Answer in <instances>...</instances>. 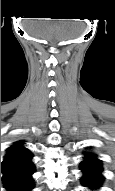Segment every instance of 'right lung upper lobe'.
<instances>
[{"label": "right lung upper lobe", "mask_w": 115, "mask_h": 191, "mask_svg": "<svg viewBox=\"0 0 115 191\" xmlns=\"http://www.w3.org/2000/svg\"><path fill=\"white\" fill-rule=\"evenodd\" d=\"M32 169H34L32 153L23 146V142H16L7 149L2 162L3 174L26 172Z\"/></svg>", "instance_id": "right-lung-upper-lobe-1"}]
</instances>
